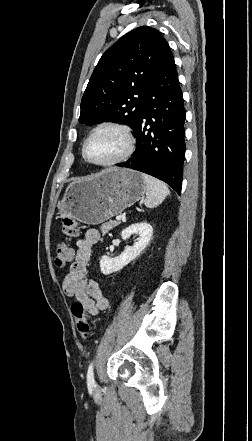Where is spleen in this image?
<instances>
[{"label": "spleen", "instance_id": "3e777b00", "mask_svg": "<svg viewBox=\"0 0 252 441\" xmlns=\"http://www.w3.org/2000/svg\"><path fill=\"white\" fill-rule=\"evenodd\" d=\"M142 177L146 185V198L144 204L147 208L157 207L168 195H170V190L165 183L152 176L142 174Z\"/></svg>", "mask_w": 252, "mask_h": 441}]
</instances>
